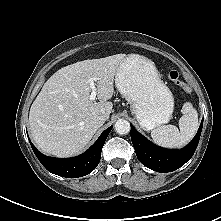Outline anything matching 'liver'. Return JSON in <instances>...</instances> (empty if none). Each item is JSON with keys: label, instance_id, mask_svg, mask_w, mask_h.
Instances as JSON below:
<instances>
[{"label": "liver", "instance_id": "liver-1", "mask_svg": "<svg viewBox=\"0 0 221 221\" xmlns=\"http://www.w3.org/2000/svg\"><path fill=\"white\" fill-rule=\"evenodd\" d=\"M126 57L116 54L84 60L55 72L43 85L29 113L32 138L42 152L56 157L78 154L109 118L113 104L114 76ZM95 78L99 102L91 101L88 80Z\"/></svg>", "mask_w": 221, "mask_h": 221}]
</instances>
